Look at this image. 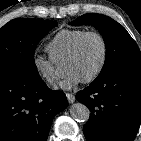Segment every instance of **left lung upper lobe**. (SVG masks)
<instances>
[{
	"label": "left lung upper lobe",
	"instance_id": "1",
	"mask_svg": "<svg viewBox=\"0 0 141 141\" xmlns=\"http://www.w3.org/2000/svg\"><path fill=\"white\" fill-rule=\"evenodd\" d=\"M71 25H92L103 35L106 45L104 66L96 80L107 78L123 71H141V52L126 29L102 14H85Z\"/></svg>",
	"mask_w": 141,
	"mask_h": 141
}]
</instances>
